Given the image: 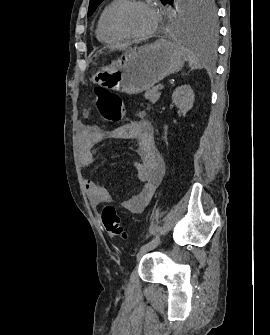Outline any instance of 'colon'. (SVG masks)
Wrapping results in <instances>:
<instances>
[{"mask_svg":"<svg viewBox=\"0 0 270 335\" xmlns=\"http://www.w3.org/2000/svg\"><path fill=\"white\" fill-rule=\"evenodd\" d=\"M91 92L101 117L107 123H117L124 117L125 107L120 96L105 87H94ZM102 222L113 237L120 240L128 239V232L113 205L104 206Z\"/></svg>","mask_w":270,"mask_h":335,"instance_id":"colon-1","label":"colon"}]
</instances>
